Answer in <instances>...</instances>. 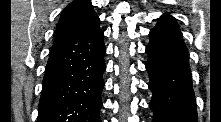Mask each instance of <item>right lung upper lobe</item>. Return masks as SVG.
<instances>
[{
	"label": "right lung upper lobe",
	"instance_id": "1",
	"mask_svg": "<svg viewBox=\"0 0 221 122\" xmlns=\"http://www.w3.org/2000/svg\"><path fill=\"white\" fill-rule=\"evenodd\" d=\"M99 22L90 0H75L63 11L56 28L54 45Z\"/></svg>",
	"mask_w": 221,
	"mask_h": 122
}]
</instances>
